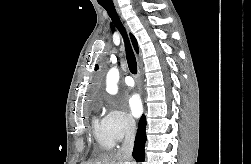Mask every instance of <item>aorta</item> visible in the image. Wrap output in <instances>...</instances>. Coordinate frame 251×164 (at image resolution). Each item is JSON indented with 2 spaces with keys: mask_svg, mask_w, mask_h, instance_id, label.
<instances>
[{
  "mask_svg": "<svg viewBox=\"0 0 251 164\" xmlns=\"http://www.w3.org/2000/svg\"><path fill=\"white\" fill-rule=\"evenodd\" d=\"M119 71L116 67H113L107 73L106 78V90L111 94H116L118 91Z\"/></svg>",
  "mask_w": 251,
  "mask_h": 164,
  "instance_id": "1",
  "label": "aorta"
}]
</instances>
